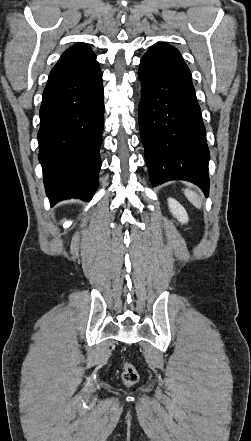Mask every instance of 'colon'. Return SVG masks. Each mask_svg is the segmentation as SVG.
Listing matches in <instances>:
<instances>
[{
	"instance_id": "5ec220e1",
	"label": "colon",
	"mask_w": 251,
	"mask_h": 441,
	"mask_svg": "<svg viewBox=\"0 0 251 441\" xmlns=\"http://www.w3.org/2000/svg\"><path fill=\"white\" fill-rule=\"evenodd\" d=\"M122 380L126 386H133L139 380V374L130 362H124L122 371Z\"/></svg>"
}]
</instances>
